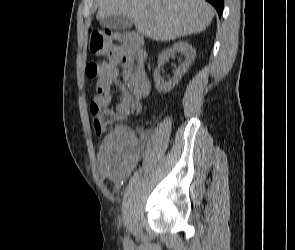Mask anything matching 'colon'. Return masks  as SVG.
I'll return each mask as SVG.
<instances>
[{
  "instance_id": "colon-1",
  "label": "colon",
  "mask_w": 295,
  "mask_h": 250,
  "mask_svg": "<svg viewBox=\"0 0 295 250\" xmlns=\"http://www.w3.org/2000/svg\"><path fill=\"white\" fill-rule=\"evenodd\" d=\"M120 41L130 52L138 54L144 51V38L134 32L116 30H95L90 36L91 52L96 56L108 55L114 47V41ZM105 69V62L90 61L87 63L85 73L89 78H96ZM94 114V128L98 135L103 134L107 127L120 121L125 115L137 113V109H101L94 103L91 104Z\"/></svg>"
}]
</instances>
